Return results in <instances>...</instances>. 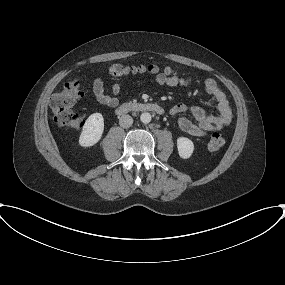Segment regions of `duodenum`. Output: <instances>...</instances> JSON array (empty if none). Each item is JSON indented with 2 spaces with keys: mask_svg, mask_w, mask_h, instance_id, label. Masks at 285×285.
<instances>
[{
  "mask_svg": "<svg viewBox=\"0 0 285 285\" xmlns=\"http://www.w3.org/2000/svg\"><path fill=\"white\" fill-rule=\"evenodd\" d=\"M117 114L123 115L130 112H151L158 115L164 113V109L157 103L138 102V103H125L119 106L116 110Z\"/></svg>",
  "mask_w": 285,
  "mask_h": 285,
  "instance_id": "1",
  "label": "duodenum"
}]
</instances>
